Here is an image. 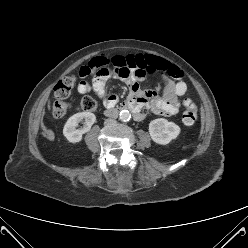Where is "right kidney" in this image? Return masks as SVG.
I'll return each instance as SVG.
<instances>
[{
  "label": "right kidney",
  "instance_id": "1",
  "mask_svg": "<svg viewBox=\"0 0 248 248\" xmlns=\"http://www.w3.org/2000/svg\"><path fill=\"white\" fill-rule=\"evenodd\" d=\"M85 119L84 125L80 129H76L78 123ZM96 116L91 112H81L71 116L64 128L63 134L67 140L71 143L80 142L82 140L83 134L91 129V126L95 123Z\"/></svg>",
  "mask_w": 248,
  "mask_h": 248
}]
</instances>
